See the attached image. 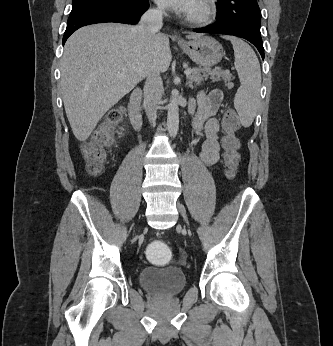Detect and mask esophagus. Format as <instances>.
I'll list each match as a JSON object with an SVG mask.
<instances>
[{"mask_svg":"<svg viewBox=\"0 0 333 346\" xmlns=\"http://www.w3.org/2000/svg\"><path fill=\"white\" fill-rule=\"evenodd\" d=\"M174 38L178 41L181 40L180 36H178L177 34H175Z\"/></svg>","mask_w":333,"mask_h":346,"instance_id":"34e87169","label":"esophagus"}]
</instances>
